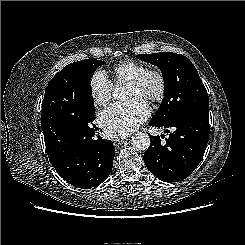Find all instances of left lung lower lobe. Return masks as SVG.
<instances>
[{
    "label": "left lung lower lobe",
    "mask_w": 245,
    "mask_h": 245,
    "mask_svg": "<svg viewBox=\"0 0 245 245\" xmlns=\"http://www.w3.org/2000/svg\"><path fill=\"white\" fill-rule=\"evenodd\" d=\"M149 125L174 127L175 131L165 139L166 143H161L159 136H151L150 147L144 154L148 170L165 182L186 179L202 160L209 140L208 109H193L169 123L151 120Z\"/></svg>",
    "instance_id": "0a47b994"
}]
</instances>
